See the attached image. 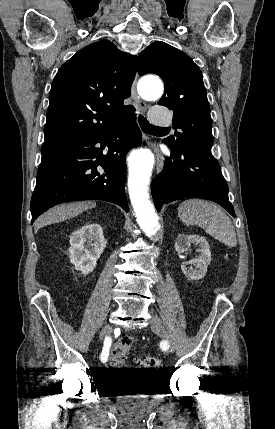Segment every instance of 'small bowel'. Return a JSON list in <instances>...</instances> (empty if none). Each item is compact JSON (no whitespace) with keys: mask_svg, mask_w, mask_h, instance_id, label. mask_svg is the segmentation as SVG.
<instances>
[{"mask_svg":"<svg viewBox=\"0 0 275 429\" xmlns=\"http://www.w3.org/2000/svg\"><path fill=\"white\" fill-rule=\"evenodd\" d=\"M130 337L129 336H123V337H121L119 340H118V342L116 343V344H118L119 342H121L122 340H124V339H129ZM115 344V345H116ZM109 350H110V348H109Z\"/></svg>","mask_w":275,"mask_h":429,"instance_id":"obj_1","label":"small bowel"}]
</instances>
